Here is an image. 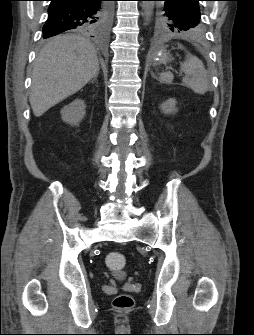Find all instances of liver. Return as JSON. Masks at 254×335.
I'll return each mask as SVG.
<instances>
[{
	"instance_id": "obj_1",
	"label": "liver",
	"mask_w": 254,
	"mask_h": 335,
	"mask_svg": "<svg viewBox=\"0 0 254 335\" xmlns=\"http://www.w3.org/2000/svg\"><path fill=\"white\" fill-rule=\"evenodd\" d=\"M99 71L94 44L77 35L51 39L39 52L29 101L36 117L83 88Z\"/></svg>"
}]
</instances>
